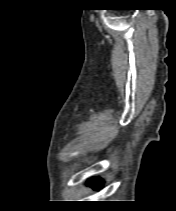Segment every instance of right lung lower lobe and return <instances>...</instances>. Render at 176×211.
<instances>
[{
	"instance_id": "obj_1",
	"label": "right lung lower lobe",
	"mask_w": 176,
	"mask_h": 211,
	"mask_svg": "<svg viewBox=\"0 0 176 211\" xmlns=\"http://www.w3.org/2000/svg\"><path fill=\"white\" fill-rule=\"evenodd\" d=\"M88 185H90L91 187H93L95 189H98L102 185V182L99 178H95V179L90 180L88 182Z\"/></svg>"
}]
</instances>
